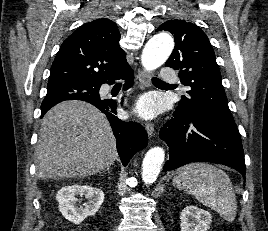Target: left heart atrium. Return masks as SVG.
<instances>
[{
  "mask_svg": "<svg viewBox=\"0 0 268 231\" xmlns=\"http://www.w3.org/2000/svg\"><path fill=\"white\" fill-rule=\"evenodd\" d=\"M134 112L145 119H149L154 117L157 114V107L154 103V100L152 97L150 96H145L143 98H141L135 109Z\"/></svg>",
  "mask_w": 268,
  "mask_h": 231,
  "instance_id": "1",
  "label": "left heart atrium"
}]
</instances>
